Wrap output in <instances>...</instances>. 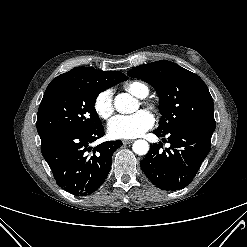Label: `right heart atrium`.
<instances>
[{"label": "right heart atrium", "instance_id": "d8ad5b80", "mask_svg": "<svg viewBox=\"0 0 247 247\" xmlns=\"http://www.w3.org/2000/svg\"><path fill=\"white\" fill-rule=\"evenodd\" d=\"M93 107L101 119H109L114 113L112 89L107 88L99 92L94 99Z\"/></svg>", "mask_w": 247, "mask_h": 247}]
</instances>
